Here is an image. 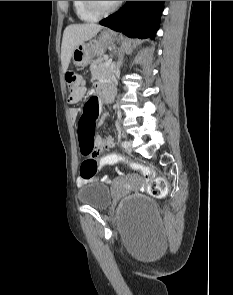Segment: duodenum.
Here are the masks:
<instances>
[{
    "mask_svg": "<svg viewBox=\"0 0 233 295\" xmlns=\"http://www.w3.org/2000/svg\"><path fill=\"white\" fill-rule=\"evenodd\" d=\"M102 94L106 98H111L113 95V90L111 88H102Z\"/></svg>",
    "mask_w": 233,
    "mask_h": 295,
    "instance_id": "1",
    "label": "duodenum"
}]
</instances>
